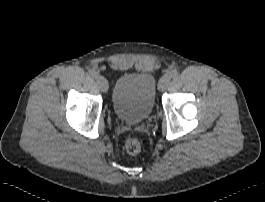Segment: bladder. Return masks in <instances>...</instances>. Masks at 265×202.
<instances>
[{
	"label": "bladder",
	"instance_id": "obj_1",
	"mask_svg": "<svg viewBox=\"0 0 265 202\" xmlns=\"http://www.w3.org/2000/svg\"><path fill=\"white\" fill-rule=\"evenodd\" d=\"M158 82L149 73H125L116 81L112 105L116 116L129 124H139L152 112Z\"/></svg>",
	"mask_w": 265,
	"mask_h": 202
}]
</instances>
